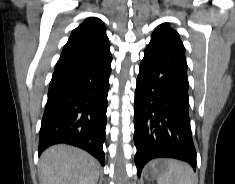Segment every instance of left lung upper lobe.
<instances>
[{
	"mask_svg": "<svg viewBox=\"0 0 235 184\" xmlns=\"http://www.w3.org/2000/svg\"><path fill=\"white\" fill-rule=\"evenodd\" d=\"M159 38L178 44L181 50L185 53V48L179 38V34L175 30L171 29L168 23H163L158 26V28L153 32L151 40Z\"/></svg>",
	"mask_w": 235,
	"mask_h": 184,
	"instance_id": "left-lung-upper-lobe-1",
	"label": "left lung upper lobe"
}]
</instances>
